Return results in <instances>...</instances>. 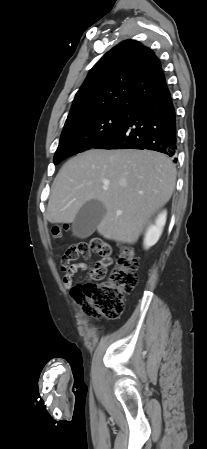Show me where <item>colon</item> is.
Instances as JSON below:
<instances>
[{
	"instance_id": "colon-1",
	"label": "colon",
	"mask_w": 207,
	"mask_h": 449,
	"mask_svg": "<svg viewBox=\"0 0 207 449\" xmlns=\"http://www.w3.org/2000/svg\"><path fill=\"white\" fill-rule=\"evenodd\" d=\"M66 229L62 225L54 224L51 234L57 238ZM92 252L102 257L91 272V277L95 281L76 284L71 294L87 316L117 319L123 311L124 295L130 293L137 285L138 259L131 247L122 245L116 257L115 267L108 279L102 281L107 267L113 262L112 249L100 238H92L87 242L71 245L62 256V266H67L69 262L80 257L88 259Z\"/></svg>"
}]
</instances>
